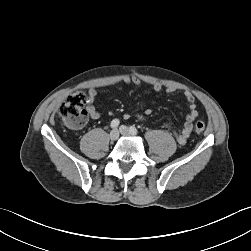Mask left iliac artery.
Returning a JSON list of instances; mask_svg holds the SVG:
<instances>
[{
    "label": "left iliac artery",
    "mask_w": 251,
    "mask_h": 251,
    "mask_svg": "<svg viewBox=\"0 0 251 251\" xmlns=\"http://www.w3.org/2000/svg\"><path fill=\"white\" fill-rule=\"evenodd\" d=\"M129 130L133 134H137L138 133L137 129L134 126H130Z\"/></svg>",
    "instance_id": "44dca946"
}]
</instances>
